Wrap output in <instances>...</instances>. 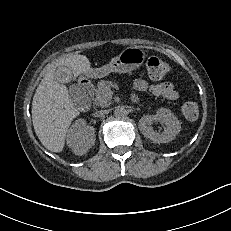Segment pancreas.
<instances>
[{
    "label": "pancreas",
    "instance_id": "obj_1",
    "mask_svg": "<svg viewBox=\"0 0 231 231\" xmlns=\"http://www.w3.org/2000/svg\"><path fill=\"white\" fill-rule=\"evenodd\" d=\"M111 87H117L112 81L101 80L95 90L94 104L100 107H108L111 104L112 94Z\"/></svg>",
    "mask_w": 231,
    "mask_h": 231
}]
</instances>
